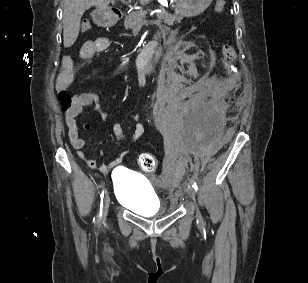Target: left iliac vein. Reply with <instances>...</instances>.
<instances>
[{"label": "left iliac vein", "mask_w": 308, "mask_h": 283, "mask_svg": "<svg viewBox=\"0 0 308 283\" xmlns=\"http://www.w3.org/2000/svg\"><path fill=\"white\" fill-rule=\"evenodd\" d=\"M185 191L189 198L195 200V190L190 184H186ZM197 218L201 220V215L198 211H197Z\"/></svg>", "instance_id": "1"}]
</instances>
